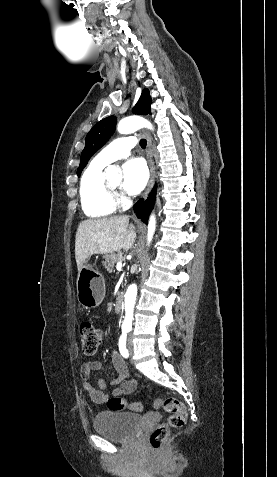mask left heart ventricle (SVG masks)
Masks as SVG:
<instances>
[{
	"mask_svg": "<svg viewBox=\"0 0 277 477\" xmlns=\"http://www.w3.org/2000/svg\"><path fill=\"white\" fill-rule=\"evenodd\" d=\"M108 180L114 187L118 188L120 186V183H121L120 178H109Z\"/></svg>",
	"mask_w": 277,
	"mask_h": 477,
	"instance_id": "left-heart-ventricle-1",
	"label": "left heart ventricle"
}]
</instances>
